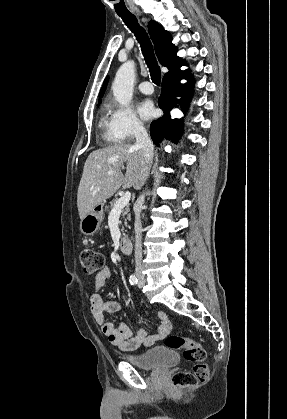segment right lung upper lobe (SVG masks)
<instances>
[{"instance_id":"right-lung-upper-lobe-1","label":"right lung upper lobe","mask_w":287,"mask_h":419,"mask_svg":"<svg viewBox=\"0 0 287 419\" xmlns=\"http://www.w3.org/2000/svg\"><path fill=\"white\" fill-rule=\"evenodd\" d=\"M148 32L155 47L156 55L159 62L168 68V73L174 74L180 72V66L184 65V60H181L177 55V48L171 43L172 37L169 32L165 31L161 25L155 21H150L148 24ZM165 74V75H166ZM108 78L105 79L100 90L99 97H102ZM100 102V99H99Z\"/></svg>"}]
</instances>
